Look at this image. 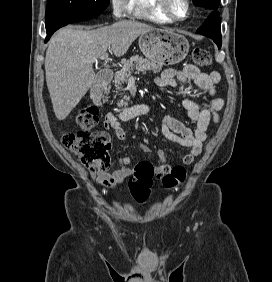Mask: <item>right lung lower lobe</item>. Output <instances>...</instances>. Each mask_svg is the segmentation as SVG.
<instances>
[{
    "mask_svg": "<svg viewBox=\"0 0 272 282\" xmlns=\"http://www.w3.org/2000/svg\"><path fill=\"white\" fill-rule=\"evenodd\" d=\"M100 14H101L100 11H80L73 14L61 15L46 21L47 37L45 39V43L50 39L52 34L59 28L69 23L91 19Z\"/></svg>",
    "mask_w": 272,
    "mask_h": 282,
    "instance_id": "obj_1",
    "label": "right lung lower lobe"
}]
</instances>
